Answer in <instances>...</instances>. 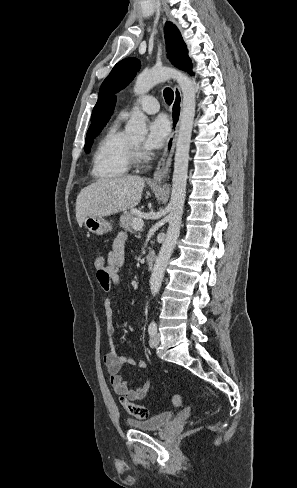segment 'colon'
<instances>
[{
	"label": "colon",
	"instance_id": "colon-1",
	"mask_svg": "<svg viewBox=\"0 0 297 488\" xmlns=\"http://www.w3.org/2000/svg\"><path fill=\"white\" fill-rule=\"evenodd\" d=\"M94 265H95L97 270H102L105 266V257L97 256L94 260ZM121 403H122L123 407L125 408V410L129 414L133 415L135 418L140 419V420H144V419L148 418L149 413H148V410L146 407L131 403L130 401H128L127 399H125L123 397H121ZM181 403H182V398L180 395H176L173 397L172 405L174 407L180 406Z\"/></svg>",
	"mask_w": 297,
	"mask_h": 488
}]
</instances>
